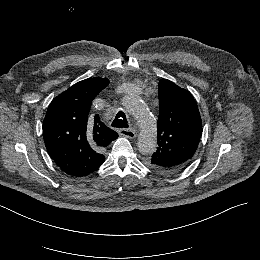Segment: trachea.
Here are the masks:
<instances>
[{
  "instance_id": "trachea-1",
  "label": "trachea",
  "mask_w": 260,
  "mask_h": 260,
  "mask_svg": "<svg viewBox=\"0 0 260 260\" xmlns=\"http://www.w3.org/2000/svg\"><path fill=\"white\" fill-rule=\"evenodd\" d=\"M112 127L128 128V121L124 112L119 111L112 122Z\"/></svg>"
}]
</instances>
